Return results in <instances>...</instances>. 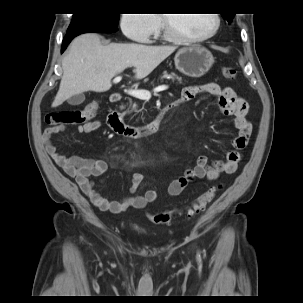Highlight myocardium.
<instances>
[{
    "label": "myocardium",
    "instance_id": "1",
    "mask_svg": "<svg viewBox=\"0 0 303 303\" xmlns=\"http://www.w3.org/2000/svg\"><path fill=\"white\" fill-rule=\"evenodd\" d=\"M212 15L214 17V26L208 33L201 35V36H186V35H183L181 33H178L177 31H175L171 26V22H170L171 19H170L169 15L163 14L162 23H163V28H164V35L168 39L179 42V43H197V42H202L207 39H210L217 33V31L220 27V23H221V19L217 13H214Z\"/></svg>",
    "mask_w": 303,
    "mask_h": 303
}]
</instances>
